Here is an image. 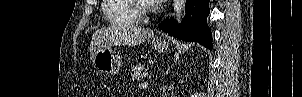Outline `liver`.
I'll return each mask as SVG.
<instances>
[{
	"label": "liver",
	"mask_w": 302,
	"mask_h": 97,
	"mask_svg": "<svg viewBox=\"0 0 302 97\" xmlns=\"http://www.w3.org/2000/svg\"><path fill=\"white\" fill-rule=\"evenodd\" d=\"M153 34V30L136 25H116L97 30L91 40V59L101 46H111L113 44L123 46L140 45L151 38Z\"/></svg>",
	"instance_id": "6515ba94"
}]
</instances>
